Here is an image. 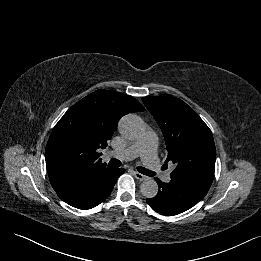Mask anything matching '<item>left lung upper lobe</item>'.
<instances>
[{
	"label": "left lung upper lobe",
	"mask_w": 261,
	"mask_h": 261,
	"mask_svg": "<svg viewBox=\"0 0 261 261\" xmlns=\"http://www.w3.org/2000/svg\"><path fill=\"white\" fill-rule=\"evenodd\" d=\"M142 101L160 126L168 156L176 168L171 179L194 180L211 186L216 150L208 126L185 102L175 97H144Z\"/></svg>",
	"instance_id": "5c2ea615"
}]
</instances>
